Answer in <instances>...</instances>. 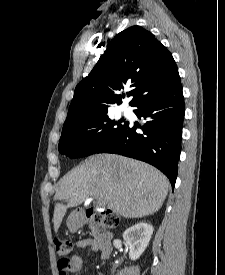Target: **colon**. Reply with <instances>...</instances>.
Masks as SVG:
<instances>
[{
  "label": "colon",
  "mask_w": 225,
  "mask_h": 275,
  "mask_svg": "<svg viewBox=\"0 0 225 275\" xmlns=\"http://www.w3.org/2000/svg\"><path fill=\"white\" fill-rule=\"evenodd\" d=\"M91 221L95 226L103 229H114L119 224V216L117 213L110 210L91 211ZM54 250L60 256L58 260V270L60 275H68L71 265L67 255L72 249V243L62 238H54Z\"/></svg>",
  "instance_id": "5ec220e1"
}]
</instances>
